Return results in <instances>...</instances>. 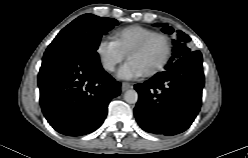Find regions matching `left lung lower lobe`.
I'll return each instance as SVG.
<instances>
[{"label":"left lung lower lobe","mask_w":248,"mask_h":158,"mask_svg":"<svg viewBox=\"0 0 248 158\" xmlns=\"http://www.w3.org/2000/svg\"><path fill=\"white\" fill-rule=\"evenodd\" d=\"M204 74L202 55L191 52L165 71L136 84L139 99L134 114L149 133L175 135L189 128L201 106Z\"/></svg>","instance_id":"left-lung-lower-lobe-1"}]
</instances>
